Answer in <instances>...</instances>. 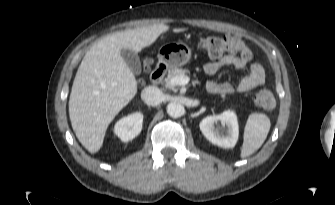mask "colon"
Segmentation results:
<instances>
[{
    "label": "colon",
    "mask_w": 335,
    "mask_h": 205,
    "mask_svg": "<svg viewBox=\"0 0 335 205\" xmlns=\"http://www.w3.org/2000/svg\"><path fill=\"white\" fill-rule=\"evenodd\" d=\"M201 48L211 59H219L227 54H240L243 59H250L251 49L245 42L234 35H224L206 37L201 40ZM146 69L150 66V61L145 60ZM256 103L264 109H272L275 106V97L269 89H261L256 95Z\"/></svg>",
    "instance_id": "1"
}]
</instances>
